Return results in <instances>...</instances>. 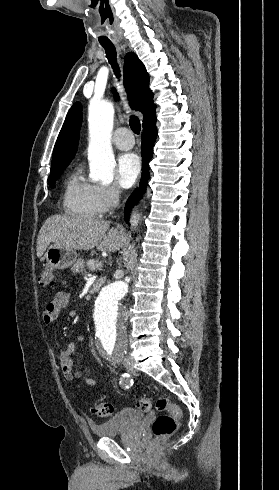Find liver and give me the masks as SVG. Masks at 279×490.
I'll return each mask as SVG.
<instances>
[{"label": "liver", "mask_w": 279, "mask_h": 490, "mask_svg": "<svg viewBox=\"0 0 279 490\" xmlns=\"http://www.w3.org/2000/svg\"><path fill=\"white\" fill-rule=\"evenodd\" d=\"M109 224L84 216H50L39 232L37 258H42L51 242L67 250L97 248L98 252H117L125 238L118 228H110Z\"/></svg>", "instance_id": "obj_1"}]
</instances>
